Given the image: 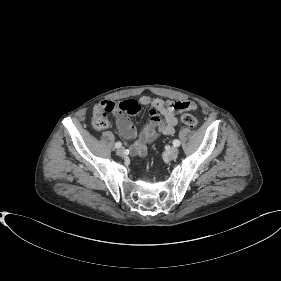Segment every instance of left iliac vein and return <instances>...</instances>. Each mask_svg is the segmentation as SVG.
Masks as SVG:
<instances>
[{"instance_id": "left-iliac-vein-1", "label": "left iliac vein", "mask_w": 281, "mask_h": 281, "mask_svg": "<svg viewBox=\"0 0 281 281\" xmlns=\"http://www.w3.org/2000/svg\"><path fill=\"white\" fill-rule=\"evenodd\" d=\"M178 149L176 147H171L170 150L167 152V156L169 159H174L178 155Z\"/></svg>"}]
</instances>
